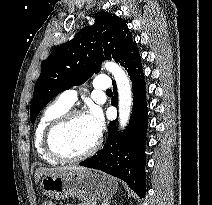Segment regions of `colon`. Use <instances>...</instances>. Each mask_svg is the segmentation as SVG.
<instances>
[{"instance_id": "1", "label": "colon", "mask_w": 212, "mask_h": 205, "mask_svg": "<svg viewBox=\"0 0 212 205\" xmlns=\"http://www.w3.org/2000/svg\"><path fill=\"white\" fill-rule=\"evenodd\" d=\"M41 205H54V204L50 199L45 198V199L42 200Z\"/></svg>"}]
</instances>
